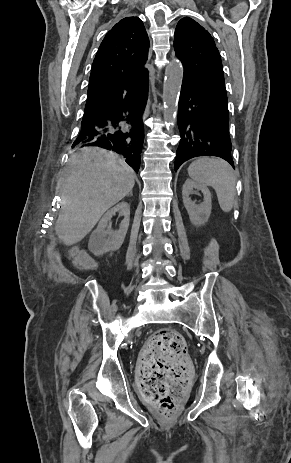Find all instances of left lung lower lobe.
<instances>
[{
    "mask_svg": "<svg viewBox=\"0 0 291 463\" xmlns=\"http://www.w3.org/2000/svg\"><path fill=\"white\" fill-rule=\"evenodd\" d=\"M180 143L175 171L199 156L223 158L234 168L229 136V113L199 90L182 85L178 104Z\"/></svg>",
    "mask_w": 291,
    "mask_h": 463,
    "instance_id": "0a47b994",
    "label": "left lung lower lobe"
}]
</instances>
